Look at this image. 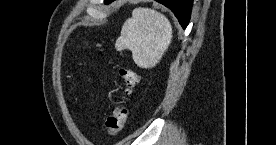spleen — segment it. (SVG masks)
I'll return each instance as SVG.
<instances>
[{
    "instance_id": "spleen-1",
    "label": "spleen",
    "mask_w": 276,
    "mask_h": 145,
    "mask_svg": "<svg viewBox=\"0 0 276 145\" xmlns=\"http://www.w3.org/2000/svg\"><path fill=\"white\" fill-rule=\"evenodd\" d=\"M172 40V26L160 12L136 8L122 26L115 47L129 49L137 66L152 68L161 60Z\"/></svg>"
}]
</instances>
